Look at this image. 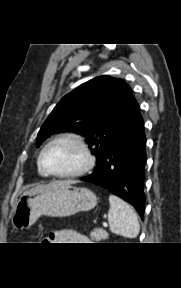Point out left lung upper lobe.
Segmentation results:
<instances>
[{
	"mask_svg": "<svg viewBox=\"0 0 181 288\" xmlns=\"http://www.w3.org/2000/svg\"><path fill=\"white\" fill-rule=\"evenodd\" d=\"M135 97L118 78L95 77L56 105L37 136V147L50 135L75 132L85 136L97 165L120 133Z\"/></svg>",
	"mask_w": 181,
	"mask_h": 288,
	"instance_id": "5c2ea615",
	"label": "left lung upper lobe"
}]
</instances>
